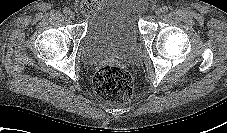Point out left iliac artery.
<instances>
[{"label": "left iliac artery", "mask_w": 227, "mask_h": 133, "mask_svg": "<svg viewBox=\"0 0 227 133\" xmlns=\"http://www.w3.org/2000/svg\"><path fill=\"white\" fill-rule=\"evenodd\" d=\"M162 9H163V12L166 13V12H168V10H169L170 8H168L167 6H163Z\"/></svg>", "instance_id": "left-iliac-artery-1"}]
</instances>
